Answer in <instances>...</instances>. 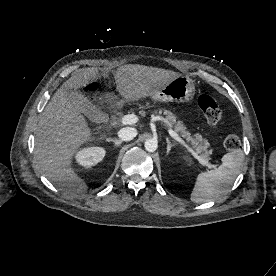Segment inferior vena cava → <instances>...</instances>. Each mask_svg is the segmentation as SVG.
Here are the masks:
<instances>
[{
  "instance_id": "inferior-vena-cava-1",
  "label": "inferior vena cava",
  "mask_w": 276,
  "mask_h": 276,
  "mask_svg": "<svg viewBox=\"0 0 276 276\" xmlns=\"http://www.w3.org/2000/svg\"><path fill=\"white\" fill-rule=\"evenodd\" d=\"M137 135V130L132 127H125L119 130L118 136L122 141H131Z\"/></svg>"
}]
</instances>
